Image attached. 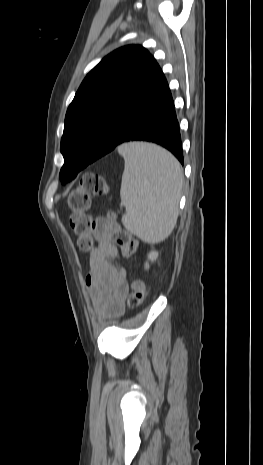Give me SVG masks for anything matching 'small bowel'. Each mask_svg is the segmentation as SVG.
<instances>
[{
    "label": "small bowel",
    "instance_id": "c3829d8e",
    "mask_svg": "<svg viewBox=\"0 0 263 465\" xmlns=\"http://www.w3.org/2000/svg\"><path fill=\"white\" fill-rule=\"evenodd\" d=\"M95 238L98 244L90 253L86 286L99 318L108 319L122 313L128 284L125 271L112 263L118 250L112 244L107 228H97Z\"/></svg>",
    "mask_w": 263,
    "mask_h": 465
}]
</instances>
